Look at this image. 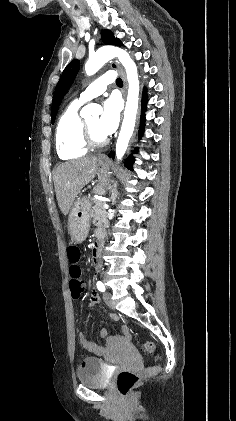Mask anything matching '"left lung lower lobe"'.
Instances as JSON below:
<instances>
[{
    "label": "left lung lower lobe",
    "mask_w": 236,
    "mask_h": 421,
    "mask_svg": "<svg viewBox=\"0 0 236 421\" xmlns=\"http://www.w3.org/2000/svg\"><path fill=\"white\" fill-rule=\"evenodd\" d=\"M146 103H147V95H146V90L144 89L143 98H142V112H141V124H140V129H139V136L142 135L144 124H145ZM134 152L136 153L137 151L135 150ZM114 155H115L114 152L111 151L108 156L114 158ZM133 161H134V158L132 156H130L126 160L125 166L129 169H132L131 166H132Z\"/></svg>",
    "instance_id": "obj_1"
}]
</instances>
